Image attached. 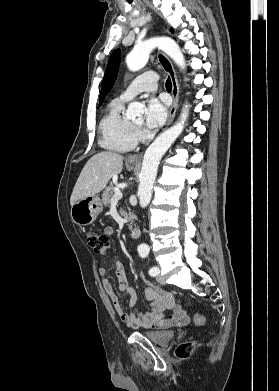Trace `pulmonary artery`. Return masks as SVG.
I'll return each mask as SVG.
<instances>
[{"instance_id": "e3ab8cb5", "label": "pulmonary artery", "mask_w": 279, "mask_h": 391, "mask_svg": "<svg viewBox=\"0 0 279 391\" xmlns=\"http://www.w3.org/2000/svg\"><path fill=\"white\" fill-rule=\"evenodd\" d=\"M158 75L153 71L145 72L136 77L121 93L120 98L128 101L142 92H153L157 89Z\"/></svg>"}]
</instances>
